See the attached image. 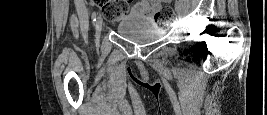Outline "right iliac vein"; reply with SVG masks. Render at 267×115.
Masks as SVG:
<instances>
[{"label":"right iliac vein","instance_id":"1","mask_svg":"<svg viewBox=\"0 0 267 115\" xmlns=\"http://www.w3.org/2000/svg\"><path fill=\"white\" fill-rule=\"evenodd\" d=\"M101 31H102V21L98 19L96 22V38L100 37Z\"/></svg>","mask_w":267,"mask_h":115}]
</instances>
